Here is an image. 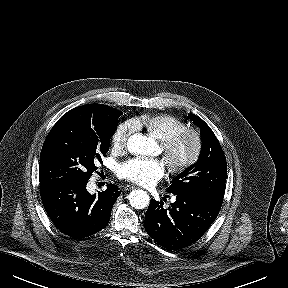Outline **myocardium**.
Here are the masks:
<instances>
[{
  "instance_id": "obj_1",
  "label": "myocardium",
  "mask_w": 288,
  "mask_h": 288,
  "mask_svg": "<svg viewBox=\"0 0 288 288\" xmlns=\"http://www.w3.org/2000/svg\"><path fill=\"white\" fill-rule=\"evenodd\" d=\"M189 139L192 147L188 155L181 157L177 152L179 144ZM163 157L173 173H180L194 165L202 151V137L198 130L185 127L160 140Z\"/></svg>"
}]
</instances>
